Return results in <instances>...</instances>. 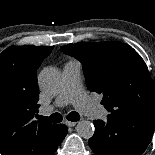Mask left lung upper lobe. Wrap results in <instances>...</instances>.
<instances>
[{"label": "left lung upper lobe", "instance_id": "1", "mask_svg": "<svg viewBox=\"0 0 155 155\" xmlns=\"http://www.w3.org/2000/svg\"><path fill=\"white\" fill-rule=\"evenodd\" d=\"M83 65L90 91L103 94L111 115H155V86L140 55L122 42H80L61 47Z\"/></svg>", "mask_w": 155, "mask_h": 155}]
</instances>
